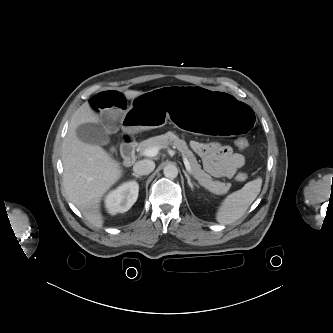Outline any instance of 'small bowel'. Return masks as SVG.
Instances as JSON below:
<instances>
[{
  "label": "small bowel",
  "mask_w": 333,
  "mask_h": 333,
  "mask_svg": "<svg viewBox=\"0 0 333 333\" xmlns=\"http://www.w3.org/2000/svg\"><path fill=\"white\" fill-rule=\"evenodd\" d=\"M127 97L120 91H103L94 95L88 102L89 110L100 115L105 124L113 128L127 108ZM191 148L202 159L204 169L214 177L230 178L245 163L240 153L218 143L192 141Z\"/></svg>",
  "instance_id": "obj_1"
}]
</instances>
